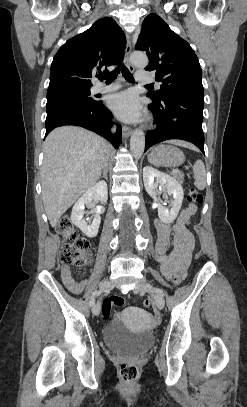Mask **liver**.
Wrapping results in <instances>:
<instances>
[{"label": "liver", "mask_w": 247, "mask_h": 407, "mask_svg": "<svg viewBox=\"0 0 247 407\" xmlns=\"http://www.w3.org/2000/svg\"><path fill=\"white\" fill-rule=\"evenodd\" d=\"M172 144L192 147L172 140ZM110 146L98 135L76 126L54 129L44 143L42 199L52 227L72 204L99 179Z\"/></svg>", "instance_id": "obj_1"}]
</instances>
